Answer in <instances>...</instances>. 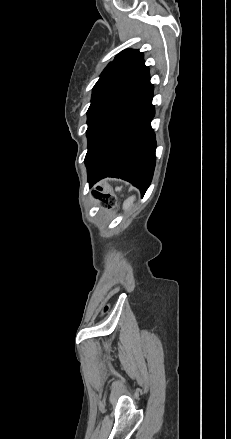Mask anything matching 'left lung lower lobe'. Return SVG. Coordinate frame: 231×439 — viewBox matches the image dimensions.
Segmentation results:
<instances>
[{
    "instance_id": "1",
    "label": "left lung lower lobe",
    "mask_w": 231,
    "mask_h": 439,
    "mask_svg": "<svg viewBox=\"0 0 231 439\" xmlns=\"http://www.w3.org/2000/svg\"><path fill=\"white\" fill-rule=\"evenodd\" d=\"M150 77L113 107L89 132L85 164L90 186L105 177L131 182L143 195L155 168Z\"/></svg>"
}]
</instances>
